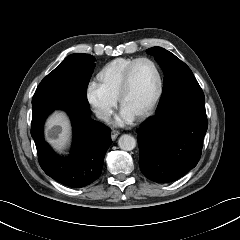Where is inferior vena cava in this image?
Returning a JSON list of instances; mask_svg holds the SVG:
<instances>
[{
    "label": "inferior vena cava",
    "mask_w": 240,
    "mask_h": 240,
    "mask_svg": "<svg viewBox=\"0 0 240 240\" xmlns=\"http://www.w3.org/2000/svg\"><path fill=\"white\" fill-rule=\"evenodd\" d=\"M95 114H96V117L101 120L106 121L110 118V114L102 110H96Z\"/></svg>",
    "instance_id": "602c4592"
}]
</instances>
